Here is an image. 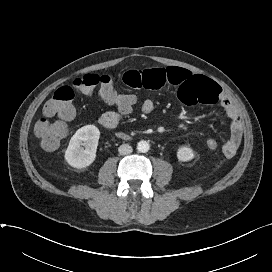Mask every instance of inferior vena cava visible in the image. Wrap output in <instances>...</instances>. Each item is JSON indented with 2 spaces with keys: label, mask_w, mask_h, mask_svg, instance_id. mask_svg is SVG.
<instances>
[{
  "label": "inferior vena cava",
  "mask_w": 272,
  "mask_h": 272,
  "mask_svg": "<svg viewBox=\"0 0 272 272\" xmlns=\"http://www.w3.org/2000/svg\"><path fill=\"white\" fill-rule=\"evenodd\" d=\"M118 151H119V153H120L121 155H127V154H130V153L133 151V149H132V147H131L130 145H128V144H122V145L119 147Z\"/></svg>",
  "instance_id": "obj_1"
}]
</instances>
